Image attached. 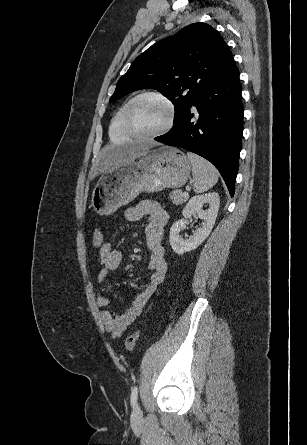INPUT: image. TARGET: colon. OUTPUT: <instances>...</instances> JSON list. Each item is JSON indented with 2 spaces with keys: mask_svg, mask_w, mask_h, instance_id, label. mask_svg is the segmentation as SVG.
<instances>
[{
  "mask_svg": "<svg viewBox=\"0 0 307 445\" xmlns=\"http://www.w3.org/2000/svg\"><path fill=\"white\" fill-rule=\"evenodd\" d=\"M104 244V234L101 229L97 228L93 232V245L97 248H101ZM140 336V330L133 331L125 340V349L128 353H131Z\"/></svg>",
  "mask_w": 307,
  "mask_h": 445,
  "instance_id": "5ec220e1",
  "label": "colon"
}]
</instances>
